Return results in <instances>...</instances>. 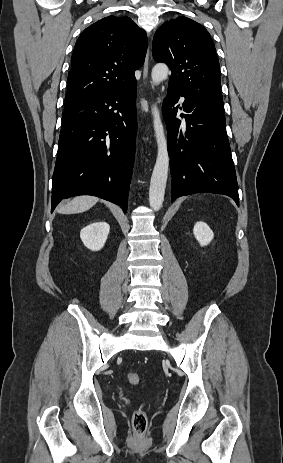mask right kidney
<instances>
[{
  "label": "right kidney",
  "instance_id": "right-kidney-1",
  "mask_svg": "<svg viewBox=\"0 0 283 463\" xmlns=\"http://www.w3.org/2000/svg\"><path fill=\"white\" fill-rule=\"evenodd\" d=\"M109 231L110 226L108 223L94 222L81 230L80 238L88 249L98 251L103 248Z\"/></svg>",
  "mask_w": 283,
  "mask_h": 463
}]
</instances>
